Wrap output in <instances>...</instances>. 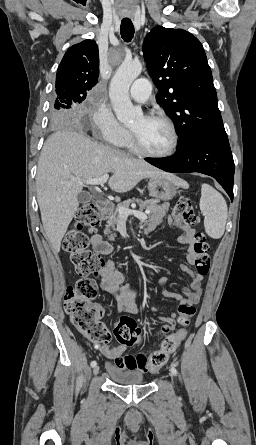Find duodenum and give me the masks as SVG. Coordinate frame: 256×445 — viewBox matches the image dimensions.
<instances>
[{
	"instance_id": "1",
	"label": "duodenum",
	"mask_w": 256,
	"mask_h": 445,
	"mask_svg": "<svg viewBox=\"0 0 256 445\" xmlns=\"http://www.w3.org/2000/svg\"><path fill=\"white\" fill-rule=\"evenodd\" d=\"M110 211V205L107 202H102L99 204V212L102 217L106 216Z\"/></svg>"
}]
</instances>
